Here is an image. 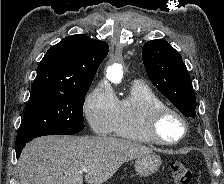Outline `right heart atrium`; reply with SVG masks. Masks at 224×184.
Returning a JSON list of instances; mask_svg holds the SVG:
<instances>
[{
	"instance_id": "right-heart-atrium-1",
	"label": "right heart atrium",
	"mask_w": 224,
	"mask_h": 184,
	"mask_svg": "<svg viewBox=\"0 0 224 184\" xmlns=\"http://www.w3.org/2000/svg\"><path fill=\"white\" fill-rule=\"evenodd\" d=\"M117 98L104 82L97 84L86 96L84 115L90 128L100 135L111 132Z\"/></svg>"
}]
</instances>
